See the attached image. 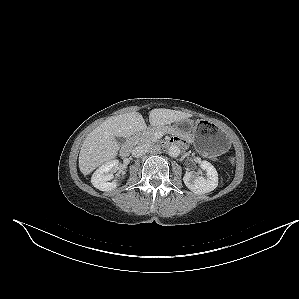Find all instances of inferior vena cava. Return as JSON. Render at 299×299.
Segmentation results:
<instances>
[{"label": "inferior vena cava", "mask_w": 299, "mask_h": 299, "mask_svg": "<svg viewBox=\"0 0 299 299\" xmlns=\"http://www.w3.org/2000/svg\"><path fill=\"white\" fill-rule=\"evenodd\" d=\"M150 149V146L147 144H139L138 146L134 147L132 150V156L133 157H141L145 155L148 150Z\"/></svg>", "instance_id": "obj_1"}]
</instances>
